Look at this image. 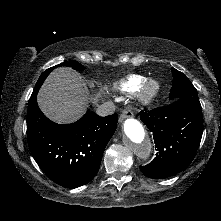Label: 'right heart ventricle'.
Instances as JSON below:
<instances>
[{
    "mask_svg": "<svg viewBox=\"0 0 221 221\" xmlns=\"http://www.w3.org/2000/svg\"><path fill=\"white\" fill-rule=\"evenodd\" d=\"M147 81V77L142 75H130L126 78H123L119 80L115 84V89L127 93V94H133L142 87V85Z\"/></svg>",
    "mask_w": 221,
    "mask_h": 221,
    "instance_id": "1",
    "label": "right heart ventricle"
}]
</instances>
